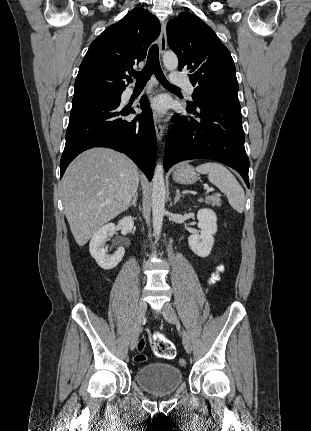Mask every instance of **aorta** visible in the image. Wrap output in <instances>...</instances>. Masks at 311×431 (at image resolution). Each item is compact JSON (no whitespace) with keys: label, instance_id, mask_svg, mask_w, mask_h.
Wrapping results in <instances>:
<instances>
[{"label":"aorta","instance_id":"1","mask_svg":"<svg viewBox=\"0 0 311 431\" xmlns=\"http://www.w3.org/2000/svg\"><path fill=\"white\" fill-rule=\"evenodd\" d=\"M163 62L166 70L173 72L178 68V58L174 52H165ZM152 223L155 235H159L162 225L163 217L165 216V200H166V186L164 180V168L159 162L154 170L152 180Z\"/></svg>","mask_w":311,"mask_h":431}]
</instances>
